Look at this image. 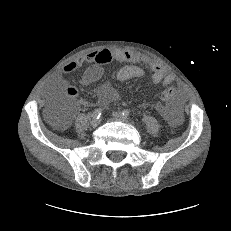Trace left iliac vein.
Instances as JSON below:
<instances>
[{"label": "left iliac vein", "mask_w": 231, "mask_h": 231, "mask_svg": "<svg viewBox=\"0 0 231 231\" xmlns=\"http://www.w3.org/2000/svg\"><path fill=\"white\" fill-rule=\"evenodd\" d=\"M113 116L116 120H119L121 122H127V120L122 116L120 112H114Z\"/></svg>", "instance_id": "left-iliac-vein-1"}]
</instances>
